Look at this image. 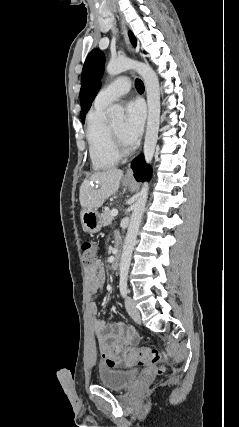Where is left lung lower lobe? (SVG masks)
<instances>
[{
    "instance_id": "1",
    "label": "left lung lower lobe",
    "mask_w": 239,
    "mask_h": 427,
    "mask_svg": "<svg viewBox=\"0 0 239 427\" xmlns=\"http://www.w3.org/2000/svg\"><path fill=\"white\" fill-rule=\"evenodd\" d=\"M132 168L134 170V177L138 182H143L150 178V167L145 164L144 158L142 155L138 156L132 162Z\"/></svg>"
}]
</instances>
